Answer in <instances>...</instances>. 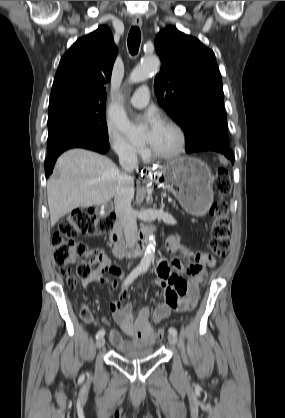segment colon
I'll return each instance as SVG.
<instances>
[{
	"label": "colon",
	"instance_id": "colon-1",
	"mask_svg": "<svg viewBox=\"0 0 285 418\" xmlns=\"http://www.w3.org/2000/svg\"><path fill=\"white\" fill-rule=\"evenodd\" d=\"M224 169L219 168L214 179V190L221 196L210 208L212 227L209 247L211 254L206 256V265L212 267L215 259L226 255L230 246V219L228 205L223 198L229 194L230 183L225 179ZM117 218L110 214L101 218H95L89 212L81 209L73 210L68 216L59 222L58 230L52 236L54 260L62 275L68 274V268L77 261V275L81 278H89L93 267L104 263L101 255L95 254L90 261L81 260L85 255L84 245L76 240L77 235L97 236L103 235L113 229ZM71 282V281H70ZM187 309H192L193 301L185 303ZM164 335L162 329H158L154 342Z\"/></svg>",
	"mask_w": 285,
	"mask_h": 418
}]
</instances>
